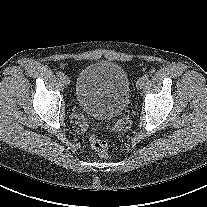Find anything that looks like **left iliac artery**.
Returning <instances> with one entry per match:
<instances>
[{
	"mask_svg": "<svg viewBox=\"0 0 207 207\" xmlns=\"http://www.w3.org/2000/svg\"><path fill=\"white\" fill-rule=\"evenodd\" d=\"M145 81L149 79V75L148 74H144L142 77Z\"/></svg>",
	"mask_w": 207,
	"mask_h": 207,
	"instance_id": "44dca946",
	"label": "left iliac artery"
}]
</instances>
